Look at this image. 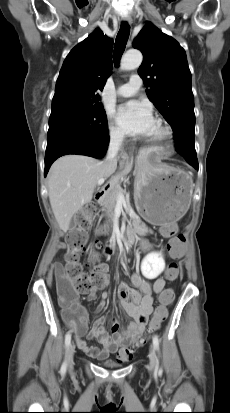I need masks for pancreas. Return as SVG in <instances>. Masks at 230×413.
<instances>
[{"label": "pancreas", "instance_id": "cf45deb5", "mask_svg": "<svg viewBox=\"0 0 230 413\" xmlns=\"http://www.w3.org/2000/svg\"><path fill=\"white\" fill-rule=\"evenodd\" d=\"M120 193L123 195L126 194V192L120 187V185L115 183L100 200V205L102 206L103 210L106 212V215L110 220H113L114 208L117 203V197ZM131 221L135 232L142 233V229H146L144 223H142L138 216L133 215L131 217Z\"/></svg>", "mask_w": 230, "mask_h": 413}]
</instances>
